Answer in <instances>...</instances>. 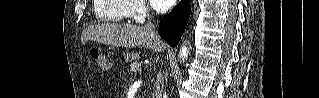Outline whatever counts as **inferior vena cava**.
I'll return each instance as SVG.
<instances>
[{
  "mask_svg": "<svg viewBox=\"0 0 319 98\" xmlns=\"http://www.w3.org/2000/svg\"><path fill=\"white\" fill-rule=\"evenodd\" d=\"M145 27L149 30V32L153 36L159 38L158 32L156 30V26L154 25L152 19L149 20V23H147ZM163 90H164V75L162 71H159L154 84V88H153V98H162Z\"/></svg>",
  "mask_w": 319,
  "mask_h": 98,
  "instance_id": "1",
  "label": "inferior vena cava"
}]
</instances>
